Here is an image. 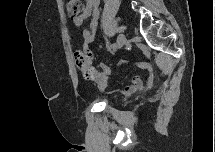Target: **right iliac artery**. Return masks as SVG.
I'll list each match as a JSON object with an SVG mask.
<instances>
[{
    "mask_svg": "<svg viewBox=\"0 0 215 152\" xmlns=\"http://www.w3.org/2000/svg\"><path fill=\"white\" fill-rule=\"evenodd\" d=\"M116 47H117V43H114L110 46V48H113V49H115Z\"/></svg>",
    "mask_w": 215,
    "mask_h": 152,
    "instance_id": "right-iliac-artery-1",
    "label": "right iliac artery"
}]
</instances>
